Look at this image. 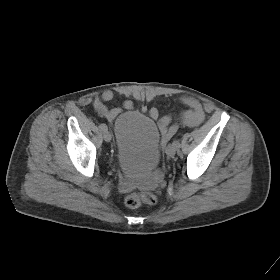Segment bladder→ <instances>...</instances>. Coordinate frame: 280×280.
Here are the masks:
<instances>
[{"mask_svg": "<svg viewBox=\"0 0 280 280\" xmlns=\"http://www.w3.org/2000/svg\"><path fill=\"white\" fill-rule=\"evenodd\" d=\"M116 157L127 174L145 175L160 160V131L156 122L138 112L121 114L114 124Z\"/></svg>", "mask_w": 280, "mask_h": 280, "instance_id": "obj_1", "label": "bladder"}]
</instances>
